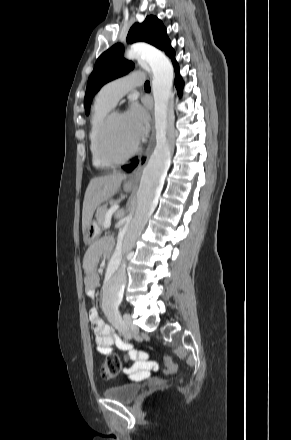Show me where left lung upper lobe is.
Masks as SVG:
<instances>
[{
	"label": "left lung upper lobe",
	"instance_id": "1",
	"mask_svg": "<svg viewBox=\"0 0 291 440\" xmlns=\"http://www.w3.org/2000/svg\"><path fill=\"white\" fill-rule=\"evenodd\" d=\"M143 41L154 45L174 60L175 52L171 47V42L166 34V28L163 23L155 16H147L141 24H134L128 35L127 42L133 43ZM124 47L122 44H115L96 61L94 70L91 73L86 94L84 106L86 115L90 112V104L94 95L107 82L127 74L133 69L134 64L123 58Z\"/></svg>",
	"mask_w": 291,
	"mask_h": 440
}]
</instances>
